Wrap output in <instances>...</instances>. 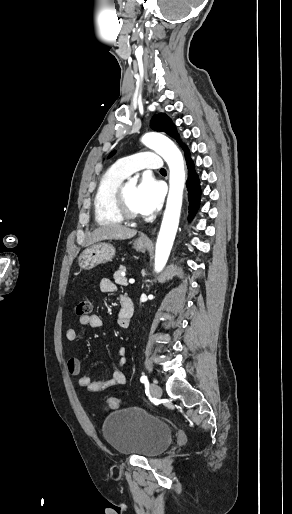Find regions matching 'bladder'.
Masks as SVG:
<instances>
[{
    "label": "bladder",
    "mask_w": 292,
    "mask_h": 514,
    "mask_svg": "<svg viewBox=\"0 0 292 514\" xmlns=\"http://www.w3.org/2000/svg\"><path fill=\"white\" fill-rule=\"evenodd\" d=\"M101 433L117 453L144 458L160 454L172 440V429L167 423L133 407L106 417Z\"/></svg>",
    "instance_id": "bladder-1"
}]
</instances>
